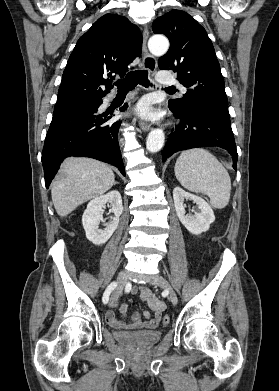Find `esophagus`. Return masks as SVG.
<instances>
[{
    "instance_id": "1",
    "label": "esophagus",
    "mask_w": 279,
    "mask_h": 391,
    "mask_svg": "<svg viewBox=\"0 0 279 391\" xmlns=\"http://www.w3.org/2000/svg\"><path fill=\"white\" fill-rule=\"evenodd\" d=\"M148 35H149L148 29L144 28L143 46H142L143 67L150 72H154L157 68V61L156 58L152 56L147 50ZM139 126L143 131H149L151 129V124L143 120L139 122Z\"/></svg>"
}]
</instances>
